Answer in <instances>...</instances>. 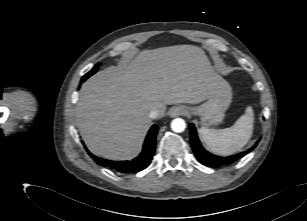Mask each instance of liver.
Masks as SVG:
<instances>
[{"label": "liver", "mask_w": 307, "mask_h": 221, "mask_svg": "<svg viewBox=\"0 0 307 221\" xmlns=\"http://www.w3.org/2000/svg\"><path fill=\"white\" fill-rule=\"evenodd\" d=\"M222 81L197 46L144 50L83 84L76 105L77 126L92 153L128 160L141 149L152 125L151 110L163 117L168 104L200 103Z\"/></svg>", "instance_id": "1"}]
</instances>
